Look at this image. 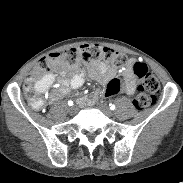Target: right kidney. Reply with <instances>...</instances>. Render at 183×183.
I'll return each mask as SVG.
<instances>
[{"label":"right kidney","instance_id":"obj_1","mask_svg":"<svg viewBox=\"0 0 183 183\" xmlns=\"http://www.w3.org/2000/svg\"><path fill=\"white\" fill-rule=\"evenodd\" d=\"M53 80H54L53 74H46L35 83L34 85L35 92L37 94L45 93L48 87L52 84Z\"/></svg>","mask_w":183,"mask_h":183}]
</instances>
